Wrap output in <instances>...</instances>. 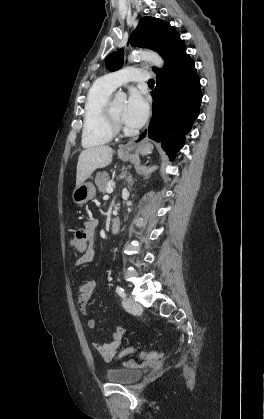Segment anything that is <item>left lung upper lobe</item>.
<instances>
[{
  "label": "left lung upper lobe",
  "mask_w": 264,
  "mask_h": 419,
  "mask_svg": "<svg viewBox=\"0 0 264 419\" xmlns=\"http://www.w3.org/2000/svg\"><path fill=\"white\" fill-rule=\"evenodd\" d=\"M179 37V33L169 23L153 17H143L131 34L129 43L152 49L162 55ZM123 55V49L108 55L105 59L106 68L110 71L119 70L123 66ZM153 70L158 69L154 67Z\"/></svg>",
  "instance_id": "obj_1"
}]
</instances>
